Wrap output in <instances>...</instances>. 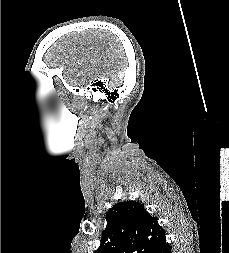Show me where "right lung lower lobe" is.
I'll return each instance as SVG.
<instances>
[{
    "label": "right lung lower lobe",
    "mask_w": 229,
    "mask_h": 253,
    "mask_svg": "<svg viewBox=\"0 0 229 253\" xmlns=\"http://www.w3.org/2000/svg\"><path fill=\"white\" fill-rule=\"evenodd\" d=\"M153 253H171V247L166 239L153 251Z\"/></svg>",
    "instance_id": "98d812e1"
}]
</instances>
